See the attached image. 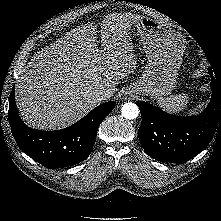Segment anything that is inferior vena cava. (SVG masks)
Masks as SVG:
<instances>
[{
  "label": "inferior vena cava",
  "mask_w": 221,
  "mask_h": 221,
  "mask_svg": "<svg viewBox=\"0 0 221 221\" xmlns=\"http://www.w3.org/2000/svg\"><path fill=\"white\" fill-rule=\"evenodd\" d=\"M91 96L93 99H95L97 102H101L102 100H106L108 98V94L104 90H97L94 91Z\"/></svg>",
  "instance_id": "1"
}]
</instances>
